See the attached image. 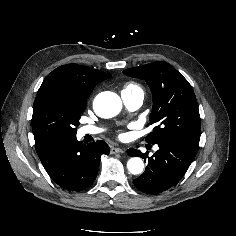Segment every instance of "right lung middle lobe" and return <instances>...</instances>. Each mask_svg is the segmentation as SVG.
Masks as SVG:
<instances>
[{
	"instance_id": "1",
	"label": "right lung middle lobe",
	"mask_w": 236,
	"mask_h": 236,
	"mask_svg": "<svg viewBox=\"0 0 236 236\" xmlns=\"http://www.w3.org/2000/svg\"><path fill=\"white\" fill-rule=\"evenodd\" d=\"M86 105L85 99H77L60 89L39 90L33 105L34 139L76 135Z\"/></svg>"
}]
</instances>
